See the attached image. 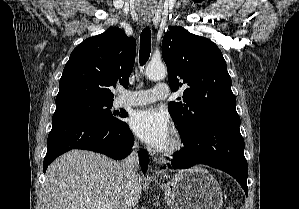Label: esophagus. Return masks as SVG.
I'll use <instances>...</instances> for the list:
<instances>
[{"label": "esophagus", "mask_w": 299, "mask_h": 209, "mask_svg": "<svg viewBox=\"0 0 299 209\" xmlns=\"http://www.w3.org/2000/svg\"><path fill=\"white\" fill-rule=\"evenodd\" d=\"M150 21H151V18H150V17H147V16L142 17V22H143L144 24H149ZM150 177H151L152 179H155V178H156V174H155L154 172H151V173H150Z\"/></svg>", "instance_id": "obj_1"}]
</instances>
